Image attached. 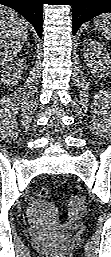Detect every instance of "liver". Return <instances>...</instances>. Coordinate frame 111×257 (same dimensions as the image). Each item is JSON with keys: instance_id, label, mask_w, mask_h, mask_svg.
Returning <instances> with one entry per match:
<instances>
[{"instance_id": "1", "label": "liver", "mask_w": 111, "mask_h": 257, "mask_svg": "<svg viewBox=\"0 0 111 257\" xmlns=\"http://www.w3.org/2000/svg\"><path fill=\"white\" fill-rule=\"evenodd\" d=\"M28 23L16 11L0 8V65L3 67L22 49L28 37Z\"/></svg>"}]
</instances>
